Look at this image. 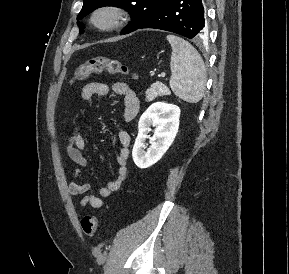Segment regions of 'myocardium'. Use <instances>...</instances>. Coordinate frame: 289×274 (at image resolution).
<instances>
[{
	"label": "myocardium",
	"instance_id": "myocardium-1",
	"mask_svg": "<svg viewBox=\"0 0 289 274\" xmlns=\"http://www.w3.org/2000/svg\"><path fill=\"white\" fill-rule=\"evenodd\" d=\"M129 18L125 7L115 3H104L90 13V23L97 30L111 32L121 28Z\"/></svg>",
	"mask_w": 289,
	"mask_h": 274
}]
</instances>
